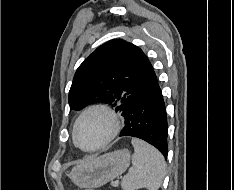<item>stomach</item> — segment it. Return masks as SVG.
I'll use <instances>...</instances> for the list:
<instances>
[{
  "label": "stomach",
  "mask_w": 234,
  "mask_h": 190,
  "mask_svg": "<svg viewBox=\"0 0 234 190\" xmlns=\"http://www.w3.org/2000/svg\"><path fill=\"white\" fill-rule=\"evenodd\" d=\"M129 164L130 152L117 150L73 167L69 177L80 188H98L124 173Z\"/></svg>",
  "instance_id": "obj_1"
}]
</instances>
